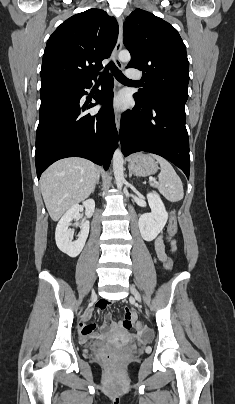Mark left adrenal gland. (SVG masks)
I'll return each mask as SVG.
<instances>
[{
	"label": "left adrenal gland",
	"instance_id": "a2214340",
	"mask_svg": "<svg viewBox=\"0 0 235 404\" xmlns=\"http://www.w3.org/2000/svg\"><path fill=\"white\" fill-rule=\"evenodd\" d=\"M129 177H130V178L132 177V172H131V171H129Z\"/></svg>",
	"mask_w": 235,
	"mask_h": 404
}]
</instances>
